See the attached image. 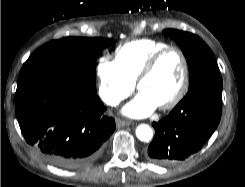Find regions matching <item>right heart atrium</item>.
<instances>
[{
	"instance_id": "right-heart-atrium-1",
	"label": "right heart atrium",
	"mask_w": 245,
	"mask_h": 187,
	"mask_svg": "<svg viewBox=\"0 0 245 187\" xmlns=\"http://www.w3.org/2000/svg\"><path fill=\"white\" fill-rule=\"evenodd\" d=\"M96 73L98 77L97 93L107 106H117L134 90V84L127 80L118 64L109 56H102L98 59Z\"/></svg>"
}]
</instances>
